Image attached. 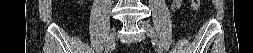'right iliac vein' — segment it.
I'll use <instances>...</instances> for the list:
<instances>
[{
  "label": "right iliac vein",
  "mask_w": 253,
  "mask_h": 53,
  "mask_svg": "<svg viewBox=\"0 0 253 53\" xmlns=\"http://www.w3.org/2000/svg\"><path fill=\"white\" fill-rule=\"evenodd\" d=\"M115 37H116V29L113 28L109 37H108L106 51H105L106 53H108L110 51V49L112 48L114 41H115Z\"/></svg>",
  "instance_id": "1"
}]
</instances>
